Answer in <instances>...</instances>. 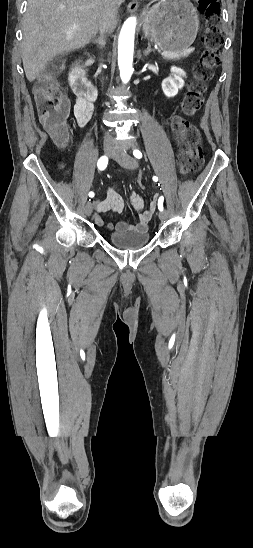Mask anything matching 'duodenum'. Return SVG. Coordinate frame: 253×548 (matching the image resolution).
<instances>
[{
	"label": "duodenum",
	"instance_id": "duodenum-1",
	"mask_svg": "<svg viewBox=\"0 0 253 548\" xmlns=\"http://www.w3.org/2000/svg\"><path fill=\"white\" fill-rule=\"evenodd\" d=\"M71 86L79 98L92 102L97 97V88L89 79L82 60L72 67Z\"/></svg>",
	"mask_w": 253,
	"mask_h": 548
}]
</instances>
